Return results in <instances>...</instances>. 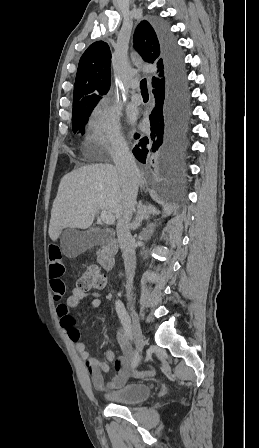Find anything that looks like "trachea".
I'll list each match as a JSON object with an SVG mask.
<instances>
[{
    "instance_id": "1",
    "label": "trachea",
    "mask_w": 259,
    "mask_h": 448,
    "mask_svg": "<svg viewBox=\"0 0 259 448\" xmlns=\"http://www.w3.org/2000/svg\"><path fill=\"white\" fill-rule=\"evenodd\" d=\"M140 89H141V94L142 95H148V89H147V81L146 78H143L140 81Z\"/></svg>"
}]
</instances>
